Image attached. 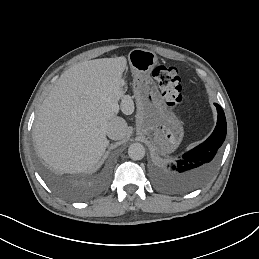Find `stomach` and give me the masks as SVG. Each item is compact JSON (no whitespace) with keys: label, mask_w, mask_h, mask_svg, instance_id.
<instances>
[{"label":"stomach","mask_w":259,"mask_h":259,"mask_svg":"<svg viewBox=\"0 0 259 259\" xmlns=\"http://www.w3.org/2000/svg\"><path fill=\"white\" fill-rule=\"evenodd\" d=\"M128 60L134 75L149 74L158 63L157 55L153 51L145 49L130 51Z\"/></svg>","instance_id":"1"}]
</instances>
